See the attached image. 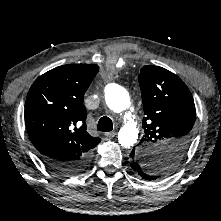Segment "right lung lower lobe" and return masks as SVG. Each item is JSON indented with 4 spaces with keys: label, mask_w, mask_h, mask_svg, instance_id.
Listing matches in <instances>:
<instances>
[{
    "label": "right lung lower lobe",
    "mask_w": 221,
    "mask_h": 221,
    "mask_svg": "<svg viewBox=\"0 0 221 221\" xmlns=\"http://www.w3.org/2000/svg\"><path fill=\"white\" fill-rule=\"evenodd\" d=\"M43 162L53 171L60 175H72L78 172H81L88 168L91 162V156L84 157L79 161H55L46 158H42Z\"/></svg>",
    "instance_id": "obj_1"
}]
</instances>
